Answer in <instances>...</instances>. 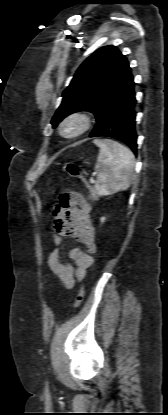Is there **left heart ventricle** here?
<instances>
[{
  "label": "left heart ventricle",
  "mask_w": 168,
  "mask_h": 415,
  "mask_svg": "<svg viewBox=\"0 0 168 415\" xmlns=\"http://www.w3.org/2000/svg\"><path fill=\"white\" fill-rule=\"evenodd\" d=\"M77 128V124L75 122H71L67 124L64 128L66 133H71Z\"/></svg>",
  "instance_id": "b2bd125f"
}]
</instances>
